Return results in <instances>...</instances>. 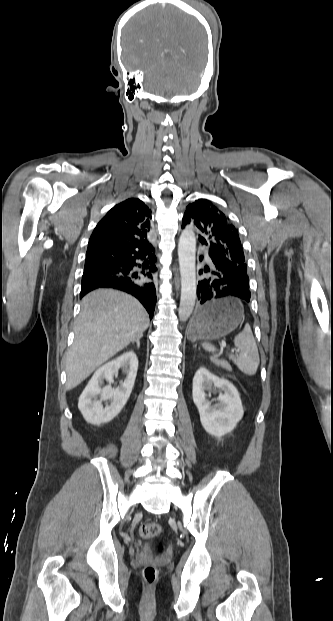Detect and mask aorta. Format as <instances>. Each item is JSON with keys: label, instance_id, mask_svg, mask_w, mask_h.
<instances>
[{"label": "aorta", "instance_id": "aorta-1", "mask_svg": "<svg viewBox=\"0 0 333 621\" xmlns=\"http://www.w3.org/2000/svg\"><path fill=\"white\" fill-rule=\"evenodd\" d=\"M178 257L181 275L179 318L186 321L193 312L196 300V238L190 227L181 233Z\"/></svg>", "mask_w": 333, "mask_h": 621}]
</instances>
